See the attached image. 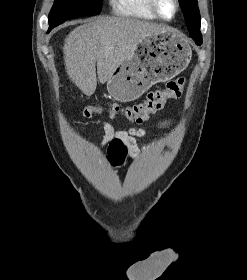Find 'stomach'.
<instances>
[{
	"label": "stomach",
	"instance_id": "stomach-1",
	"mask_svg": "<svg viewBox=\"0 0 247 280\" xmlns=\"http://www.w3.org/2000/svg\"><path fill=\"white\" fill-rule=\"evenodd\" d=\"M191 55L189 44L177 33L167 31L149 35L115 69L107 81V90L117 101H133L152 85L181 73L188 66Z\"/></svg>",
	"mask_w": 247,
	"mask_h": 280
}]
</instances>
